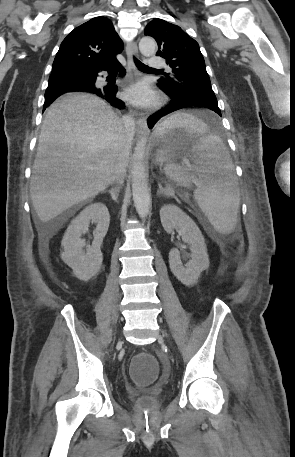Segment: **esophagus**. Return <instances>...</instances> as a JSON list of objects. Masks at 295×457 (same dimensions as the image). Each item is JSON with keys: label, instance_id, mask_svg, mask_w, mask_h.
<instances>
[{"label": "esophagus", "instance_id": "1", "mask_svg": "<svg viewBox=\"0 0 295 457\" xmlns=\"http://www.w3.org/2000/svg\"><path fill=\"white\" fill-rule=\"evenodd\" d=\"M126 54L128 60V67L134 69L133 57L138 55V48L135 42H129L126 46ZM137 133L141 136H147L149 134V128L145 116H141L137 119Z\"/></svg>", "mask_w": 295, "mask_h": 457}]
</instances>
